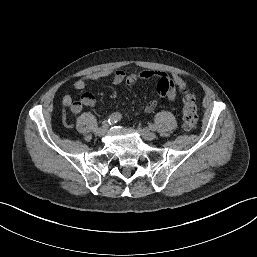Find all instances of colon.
<instances>
[{"instance_id": "colon-1", "label": "colon", "mask_w": 257, "mask_h": 257, "mask_svg": "<svg viewBox=\"0 0 257 257\" xmlns=\"http://www.w3.org/2000/svg\"><path fill=\"white\" fill-rule=\"evenodd\" d=\"M198 121L197 104L195 97L186 92L183 97V129L191 131L196 128Z\"/></svg>"}]
</instances>
